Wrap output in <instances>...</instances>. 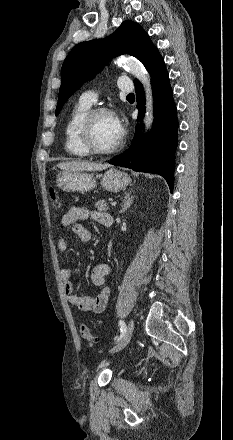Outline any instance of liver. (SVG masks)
Returning <instances> with one entry per match:
<instances>
[{
	"mask_svg": "<svg viewBox=\"0 0 233 440\" xmlns=\"http://www.w3.org/2000/svg\"><path fill=\"white\" fill-rule=\"evenodd\" d=\"M57 167L63 171H102L108 168L109 165L88 161H71L59 163Z\"/></svg>",
	"mask_w": 233,
	"mask_h": 440,
	"instance_id": "6515ba94",
	"label": "liver"
}]
</instances>
